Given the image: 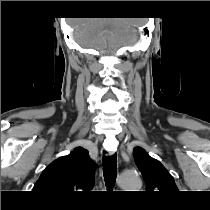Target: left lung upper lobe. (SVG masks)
I'll return each mask as SVG.
<instances>
[{"label": "left lung upper lobe", "instance_id": "5c2ea615", "mask_svg": "<svg viewBox=\"0 0 210 210\" xmlns=\"http://www.w3.org/2000/svg\"><path fill=\"white\" fill-rule=\"evenodd\" d=\"M133 156L145 180L147 192L173 193L178 191L173 177L166 168L158 160L150 157L143 148H134Z\"/></svg>", "mask_w": 210, "mask_h": 210}]
</instances>
